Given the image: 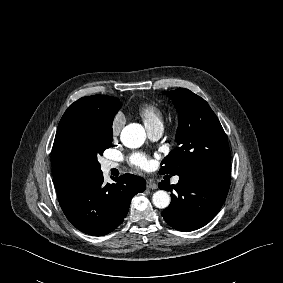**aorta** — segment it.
I'll return each instance as SVG.
<instances>
[{
	"mask_svg": "<svg viewBox=\"0 0 283 283\" xmlns=\"http://www.w3.org/2000/svg\"><path fill=\"white\" fill-rule=\"evenodd\" d=\"M120 139L128 148H138L143 145L146 133L140 124L132 123L123 128ZM170 196L164 190L156 191L152 196L153 204L160 209L167 208L170 204Z\"/></svg>",
	"mask_w": 283,
	"mask_h": 283,
	"instance_id": "obj_1",
	"label": "aorta"
}]
</instances>
